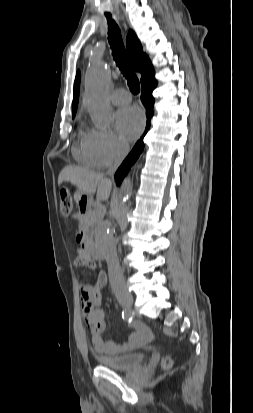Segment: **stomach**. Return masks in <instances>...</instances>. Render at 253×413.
<instances>
[{
	"mask_svg": "<svg viewBox=\"0 0 253 413\" xmlns=\"http://www.w3.org/2000/svg\"><path fill=\"white\" fill-rule=\"evenodd\" d=\"M74 199L78 204H81L82 207H84V205H86L88 207L92 198L89 194H86V193H84V192H82L81 190L78 189L74 193Z\"/></svg>",
	"mask_w": 253,
	"mask_h": 413,
	"instance_id": "stomach-1",
	"label": "stomach"
}]
</instances>
